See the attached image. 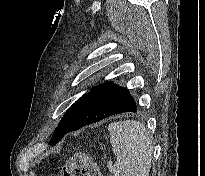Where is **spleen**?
<instances>
[{
    "mask_svg": "<svg viewBox=\"0 0 205 176\" xmlns=\"http://www.w3.org/2000/svg\"><path fill=\"white\" fill-rule=\"evenodd\" d=\"M108 130L117 157L114 176H149L153 145L145 125L125 120L109 124Z\"/></svg>",
    "mask_w": 205,
    "mask_h": 176,
    "instance_id": "obj_1",
    "label": "spleen"
}]
</instances>
